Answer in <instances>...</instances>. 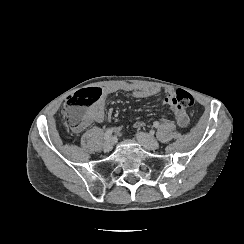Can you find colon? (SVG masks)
Here are the masks:
<instances>
[{
	"label": "colon",
	"mask_w": 244,
	"mask_h": 244,
	"mask_svg": "<svg viewBox=\"0 0 244 244\" xmlns=\"http://www.w3.org/2000/svg\"><path fill=\"white\" fill-rule=\"evenodd\" d=\"M100 97V90L96 86H89L78 93H73L69 97L68 105L63 109L65 119L70 128L81 130L90 121L87 110L83 107L93 103ZM171 104L182 107H192L194 98L185 89H177L171 98Z\"/></svg>",
	"instance_id": "1"
}]
</instances>
